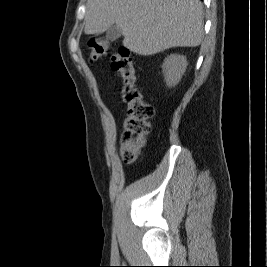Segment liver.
Masks as SVG:
<instances>
[{
	"label": "liver",
	"mask_w": 267,
	"mask_h": 267,
	"mask_svg": "<svg viewBox=\"0 0 267 267\" xmlns=\"http://www.w3.org/2000/svg\"><path fill=\"white\" fill-rule=\"evenodd\" d=\"M84 32L98 35L116 24L123 45L142 55L173 47H196L203 40L199 0H88Z\"/></svg>",
	"instance_id": "1"
}]
</instances>
